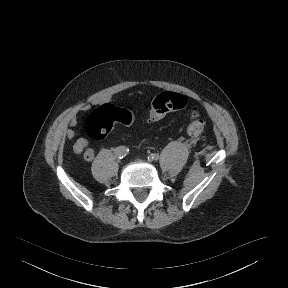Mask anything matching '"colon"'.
<instances>
[{"instance_id": "obj_1", "label": "colon", "mask_w": 288, "mask_h": 288, "mask_svg": "<svg viewBox=\"0 0 288 288\" xmlns=\"http://www.w3.org/2000/svg\"><path fill=\"white\" fill-rule=\"evenodd\" d=\"M187 100L180 93H164L158 96L149 109V122H157L166 117L169 113L181 110L186 106ZM134 116L127 110L103 104L94 109L85 122L86 134L94 141L105 139L112 131L116 122L131 125L134 123ZM205 122L197 108L190 112V121L187 125V133L190 136H198L204 130ZM94 156L93 151H87L83 159L90 160Z\"/></svg>"}]
</instances>
